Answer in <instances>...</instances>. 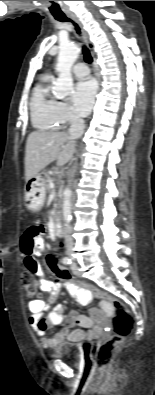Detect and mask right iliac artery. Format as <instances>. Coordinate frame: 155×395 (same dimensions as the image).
<instances>
[{
	"label": "right iliac artery",
	"instance_id": "right-iliac-artery-1",
	"mask_svg": "<svg viewBox=\"0 0 155 395\" xmlns=\"http://www.w3.org/2000/svg\"><path fill=\"white\" fill-rule=\"evenodd\" d=\"M71 258H69V257H64L63 258V263L65 264V265H69V264H71Z\"/></svg>",
	"mask_w": 155,
	"mask_h": 395
}]
</instances>
